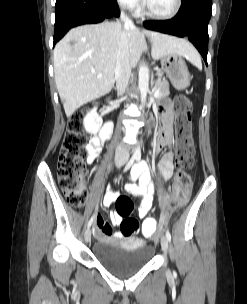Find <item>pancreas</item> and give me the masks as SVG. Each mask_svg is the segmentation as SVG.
Returning a JSON list of instances; mask_svg holds the SVG:
<instances>
[{
  "mask_svg": "<svg viewBox=\"0 0 247 304\" xmlns=\"http://www.w3.org/2000/svg\"><path fill=\"white\" fill-rule=\"evenodd\" d=\"M155 90H159L158 98L167 97L170 94L168 81L165 79L156 81Z\"/></svg>",
  "mask_w": 247,
  "mask_h": 304,
  "instance_id": "pancreas-1",
  "label": "pancreas"
}]
</instances>
